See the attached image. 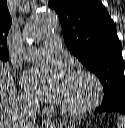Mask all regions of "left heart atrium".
Instances as JSON below:
<instances>
[{
    "instance_id": "39dd6f15",
    "label": "left heart atrium",
    "mask_w": 125,
    "mask_h": 128,
    "mask_svg": "<svg viewBox=\"0 0 125 128\" xmlns=\"http://www.w3.org/2000/svg\"><path fill=\"white\" fill-rule=\"evenodd\" d=\"M71 75L62 63L33 66L21 76L23 88L34 98L49 103H60Z\"/></svg>"
}]
</instances>
